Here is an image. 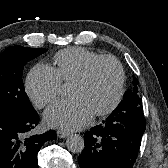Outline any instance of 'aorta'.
Returning <instances> with one entry per match:
<instances>
[{"instance_id":"1","label":"aorta","mask_w":168,"mask_h":168,"mask_svg":"<svg viewBox=\"0 0 168 168\" xmlns=\"http://www.w3.org/2000/svg\"><path fill=\"white\" fill-rule=\"evenodd\" d=\"M66 146L70 152L80 153L84 149V139L78 134H72L67 138Z\"/></svg>"}]
</instances>
